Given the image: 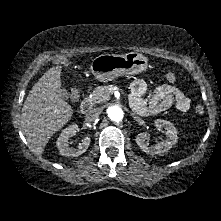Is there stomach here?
<instances>
[{
	"label": "stomach",
	"instance_id": "1",
	"mask_svg": "<svg viewBox=\"0 0 221 221\" xmlns=\"http://www.w3.org/2000/svg\"><path fill=\"white\" fill-rule=\"evenodd\" d=\"M148 60L141 53L124 55L102 54L91 62V72L101 82L113 81L119 76L138 74L147 69Z\"/></svg>",
	"mask_w": 221,
	"mask_h": 221
}]
</instances>
